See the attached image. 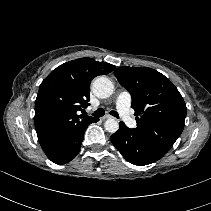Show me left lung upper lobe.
<instances>
[{
    "instance_id": "left-lung-upper-lobe-1",
    "label": "left lung upper lobe",
    "mask_w": 211,
    "mask_h": 211,
    "mask_svg": "<svg viewBox=\"0 0 211 211\" xmlns=\"http://www.w3.org/2000/svg\"><path fill=\"white\" fill-rule=\"evenodd\" d=\"M119 83L132 97L137 128L154 148L166 154L183 131L186 104L163 74L148 67H119L114 71Z\"/></svg>"
}]
</instances>
